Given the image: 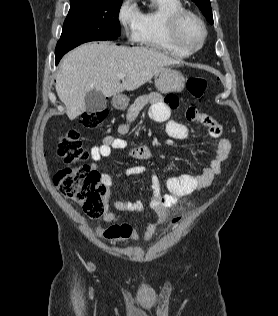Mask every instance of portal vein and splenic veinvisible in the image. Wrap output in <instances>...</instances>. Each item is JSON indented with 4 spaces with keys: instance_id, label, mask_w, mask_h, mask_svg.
Here are the masks:
<instances>
[{
    "instance_id": "18ae733b",
    "label": "portal vein and splenic vein",
    "mask_w": 278,
    "mask_h": 316,
    "mask_svg": "<svg viewBox=\"0 0 278 316\" xmlns=\"http://www.w3.org/2000/svg\"><path fill=\"white\" fill-rule=\"evenodd\" d=\"M117 77H118L119 79H124V78H125V74L120 73V74L117 75Z\"/></svg>"
}]
</instances>
